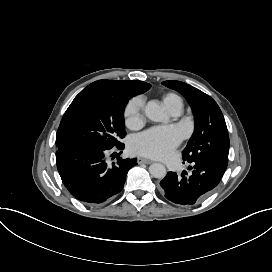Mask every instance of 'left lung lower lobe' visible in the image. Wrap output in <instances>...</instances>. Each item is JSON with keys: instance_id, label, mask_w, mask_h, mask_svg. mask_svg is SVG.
Masks as SVG:
<instances>
[{"instance_id": "0a47b994", "label": "left lung lower lobe", "mask_w": 272, "mask_h": 272, "mask_svg": "<svg viewBox=\"0 0 272 272\" xmlns=\"http://www.w3.org/2000/svg\"><path fill=\"white\" fill-rule=\"evenodd\" d=\"M193 165V172L189 178L183 176L180 179L175 172H168L160 182L161 193L169 201L183 206L196 204L219 184L226 170L204 161L193 162Z\"/></svg>"}]
</instances>
